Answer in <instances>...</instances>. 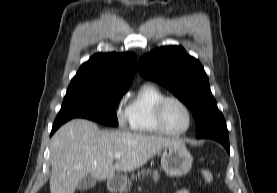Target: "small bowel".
Segmentation results:
<instances>
[{
	"mask_svg": "<svg viewBox=\"0 0 277 193\" xmlns=\"http://www.w3.org/2000/svg\"><path fill=\"white\" fill-rule=\"evenodd\" d=\"M176 193H191V192L189 189L183 188V189L178 190Z\"/></svg>",
	"mask_w": 277,
	"mask_h": 193,
	"instance_id": "small-bowel-1",
	"label": "small bowel"
}]
</instances>
